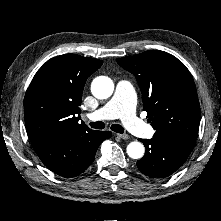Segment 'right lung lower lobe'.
Here are the masks:
<instances>
[{
  "label": "right lung lower lobe",
  "instance_id": "right-lung-lower-lobe-1",
  "mask_svg": "<svg viewBox=\"0 0 221 221\" xmlns=\"http://www.w3.org/2000/svg\"><path fill=\"white\" fill-rule=\"evenodd\" d=\"M111 135L109 131L91 130L82 134H43L30 138V141L51 171L75 177L92 164L100 143Z\"/></svg>",
  "mask_w": 221,
  "mask_h": 221
}]
</instances>
